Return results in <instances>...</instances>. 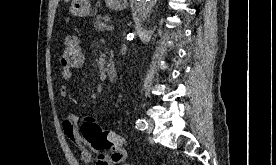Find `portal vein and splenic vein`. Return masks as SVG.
<instances>
[{
  "mask_svg": "<svg viewBox=\"0 0 276 165\" xmlns=\"http://www.w3.org/2000/svg\"><path fill=\"white\" fill-rule=\"evenodd\" d=\"M106 30L112 31V30H114V26L113 25H109V26L106 27Z\"/></svg>",
  "mask_w": 276,
  "mask_h": 165,
  "instance_id": "obj_1",
  "label": "portal vein and splenic vein"
}]
</instances>
